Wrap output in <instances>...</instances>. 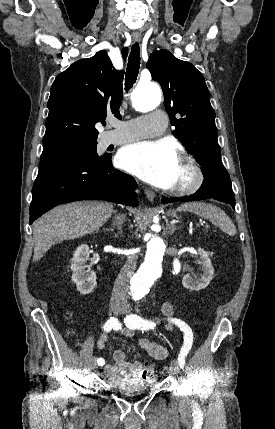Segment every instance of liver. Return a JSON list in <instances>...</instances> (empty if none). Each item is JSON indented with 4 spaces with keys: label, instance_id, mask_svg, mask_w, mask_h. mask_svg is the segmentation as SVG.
I'll return each instance as SVG.
<instances>
[{
    "label": "liver",
    "instance_id": "liver-1",
    "mask_svg": "<svg viewBox=\"0 0 275 429\" xmlns=\"http://www.w3.org/2000/svg\"><path fill=\"white\" fill-rule=\"evenodd\" d=\"M113 205L107 202H75L58 206L34 223V256L37 261L54 244L91 234L111 217Z\"/></svg>",
    "mask_w": 275,
    "mask_h": 429
}]
</instances>
